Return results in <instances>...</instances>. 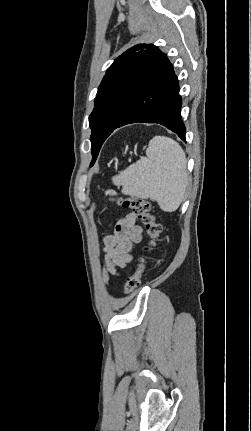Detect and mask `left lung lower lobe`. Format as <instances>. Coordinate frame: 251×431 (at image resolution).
I'll list each match as a JSON object with an SVG mask.
<instances>
[{
    "label": "left lung lower lobe",
    "instance_id": "1",
    "mask_svg": "<svg viewBox=\"0 0 251 431\" xmlns=\"http://www.w3.org/2000/svg\"><path fill=\"white\" fill-rule=\"evenodd\" d=\"M181 105L178 78L162 53L115 129L136 122L159 123L185 141Z\"/></svg>",
    "mask_w": 251,
    "mask_h": 431
}]
</instances>
